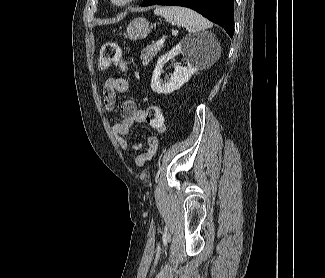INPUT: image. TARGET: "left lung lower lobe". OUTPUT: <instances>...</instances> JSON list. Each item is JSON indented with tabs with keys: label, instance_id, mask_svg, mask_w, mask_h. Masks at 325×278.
<instances>
[{
	"label": "left lung lower lobe",
	"instance_id": "0a47b994",
	"mask_svg": "<svg viewBox=\"0 0 325 278\" xmlns=\"http://www.w3.org/2000/svg\"><path fill=\"white\" fill-rule=\"evenodd\" d=\"M176 5L191 8L233 37L234 0H145L141 6Z\"/></svg>",
	"mask_w": 325,
	"mask_h": 278
}]
</instances>
